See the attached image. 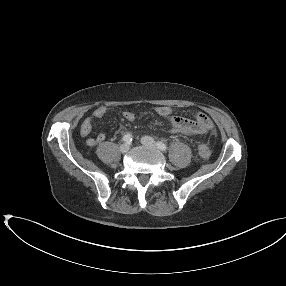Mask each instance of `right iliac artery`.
<instances>
[{"mask_svg": "<svg viewBox=\"0 0 286 286\" xmlns=\"http://www.w3.org/2000/svg\"><path fill=\"white\" fill-rule=\"evenodd\" d=\"M123 141L126 143H130L132 141V135L127 133L126 135L123 136Z\"/></svg>", "mask_w": 286, "mask_h": 286, "instance_id": "82829eb1", "label": "right iliac artery"}]
</instances>
